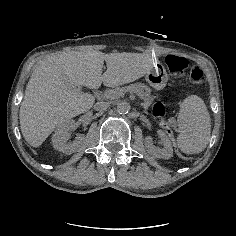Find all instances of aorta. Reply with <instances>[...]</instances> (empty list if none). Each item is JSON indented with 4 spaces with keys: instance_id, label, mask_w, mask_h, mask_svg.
Masks as SVG:
<instances>
[{
    "instance_id": "762f6f07",
    "label": "aorta",
    "mask_w": 236,
    "mask_h": 236,
    "mask_svg": "<svg viewBox=\"0 0 236 236\" xmlns=\"http://www.w3.org/2000/svg\"><path fill=\"white\" fill-rule=\"evenodd\" d=\"M131 109V106L126 101H121L117 104V112L119 114H127Z\"/></svg>"
}]
</instances>
